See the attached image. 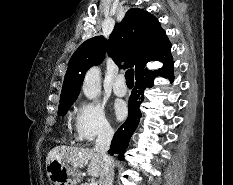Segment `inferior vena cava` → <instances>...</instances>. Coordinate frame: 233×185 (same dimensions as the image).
Here are the masks:
<instances>
[{"mask_svg": "<svg viewBox=\"0 0 233 185\" xmlns=\"http://www.w3.org/2000/svg\"><path fill=\"white\" fill-rule=\"evenodd\" d=\"M114 130L109 125H104L96 139L94 150L102 156L103 169L100 174L99 185H112L114 165L112 158L107 154L110 148Z\"/></svg>", "mask_w": 233, "mask_h": 185, "instance_id": "1", "label": "inferior vena cava"}]
</instances>
